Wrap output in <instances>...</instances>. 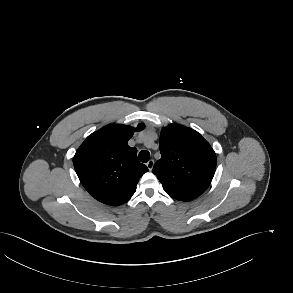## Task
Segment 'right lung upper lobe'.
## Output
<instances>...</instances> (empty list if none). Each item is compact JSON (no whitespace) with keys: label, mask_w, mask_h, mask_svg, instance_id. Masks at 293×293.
Instances as JSON below:
<instances>
[{"label":"right lung upper lobe","mask_w":293,"mask_h":293,"mask_svg":"<svg viewBox=\"0 0 293 293\" xmlns=\"http://www.w3.org/2000/svg\"><path fill=\"white\" fill-rule=\"evenodd\" d=\"M137 128L123 124L107 125L86 138L77 150L73 164L80 182L96 200L111 206L127 202L142 175L148 171L137 158V149L127 142Z\"/></svg>","instance_id":"cb5924a9"}]
</instances>
